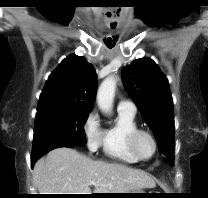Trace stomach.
Returning a JSON list of instances; mask_svg holds the SVG:
<instances>
[{
  "instance_id": "stomach-1",
  "label": "stomach",
  "mask_w": 208,
  "mask_h": 198,
  "mask_svg": "<svg viewBox=\"0 0 208 198\" xmlns=\"http://www.w3.org/2000/svg\"><path fill=\"white\" fill-rule=\"evenodd\" d=\"M142 193H145V192H143L141 189H137V190H133V191H130V192H126V194H123L120 197H123V198H140V197H142Z\"/></svg>"
}]
</instances>
